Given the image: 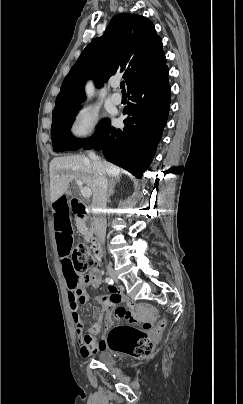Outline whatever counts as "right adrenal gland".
<instances>
[{
  "label": "right adrenal gland",
  "mask_w": 243,
  "mask_h": 404,
  "mask_svg": "<svg viewBox=\"0 0 243 404\" xmlns=\"http://www.w3.org/2000/svg\"><path fill=\"white\" fill-rule=\"evenodd\" d=\"M119 182H120V178H111V180H109L107 198H110V196H112V194L114 192V188H115L116 184H119Z\"/></svg>",
  "instance_id": "2a0ac1e0"
}]
</instances>
